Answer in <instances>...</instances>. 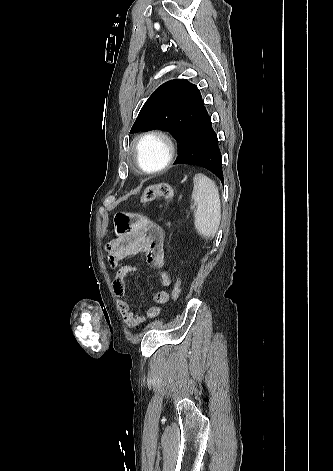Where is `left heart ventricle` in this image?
Returning a JSON list of instances; mask_svg holds the SVG:
<instances>
[{
	"label": "left heart ventricle",
	"instance_id": "b2bd125f",
	"mask_svg": "<svg viewBox=\"0 0 333 471\" xmlns=\"http://www.w3.org/2000/svg\"><path fill=\"white\" fill-rule=\"evenodd\" d=\"M165 156L163 145L157 140H148L140 148V158L144 167L152 169L161 164Z\"/></svg>",
	"mask_w": 333,
	"mask_h": 471
}]
</instances>
